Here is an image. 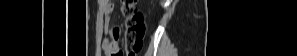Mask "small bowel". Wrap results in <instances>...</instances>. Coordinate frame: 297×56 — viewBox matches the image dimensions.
<instances>
[{"instance_id":"obj_1","label":"small bowel","mask_w":297,"mask_h":56,"mask_svg":"<svg viewBox=\"0 0 297 56\" xmlns=\"http://www.w3.org/2000/svg\"><path fill=\"white\" fill-rule=\"evenodd\" d=\"M114 11V5L108 3L106 5V18L104 21V29L110 35L109 38L102 40V49L107 56H114V54L120 51L119 40L121 36V29L119 27L110 28V16L109 14Z\"/></svg>"}]
</instances>
